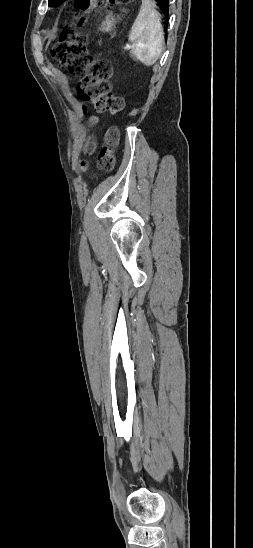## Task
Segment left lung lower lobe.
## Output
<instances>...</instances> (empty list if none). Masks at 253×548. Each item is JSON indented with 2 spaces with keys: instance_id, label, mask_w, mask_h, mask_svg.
<instances>
[{
  "instance_id": "left-lung-lower-lobe-1",
  "label": "left lung lower lobe",
  "mask_w": 253,
  "mask_h": 548,
  "mask_svg": "<svg viewBox=\"0 0 253 548\" xmlns=\"http://www.w3.org/2000/svg\"><path fill=\"white\" fill-rule=\"evenodd\" d=\"M65 0H61L57 5L54 7H57L61 3H63ZM157 2V5L161 8L162 12L165 15V18L169 17V0H155Z\"/></svg>"
}]
</instances>
